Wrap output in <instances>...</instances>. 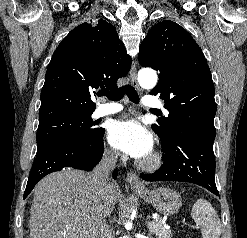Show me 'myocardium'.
I'll return each instance as SVG.
<instances>
[{
	"mask_svg": "<svg viewBox=\"0 0 247 238\" xmlns=\"http://www.w3.org/2000/svg\"><path fill=\"white\" fill-rule=\"evenodd\" d=\"M161 165L162 158L161 155L157 152L150 154L139 163L140 168L149 172L156 171L160 168Z\"/></svg>",
	"mask_w": 247,
	"mask_h": 238,
	"instance_id": "1",
	"label": "myocardium"
}]
</instances>
